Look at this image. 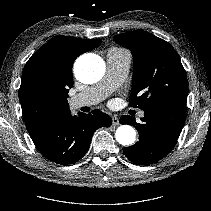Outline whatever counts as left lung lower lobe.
I'll use <instances>...</instances> for the list:
<instances>
[{"label":"left lung lower lobe","instance_id":"0a47b994","mask_svg":"<svg viewBox=\"0 0 211 211\" xmlns=\"http://www.w3.org/2000/svg\"><path fill=\"white\" fill-rule=\"evenodd\" d=\"M142 123L123 115L121 124L134 125L139 142L124 149L125 156L138 165H149L161 160L174 148L185 123L186 103L163 102L144 109Z\"/></svg>","mask_w":211,"mask_h":211}]
</instances>
